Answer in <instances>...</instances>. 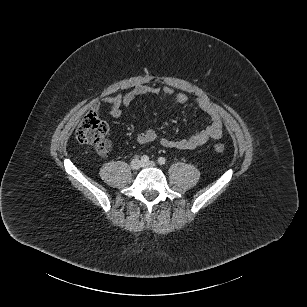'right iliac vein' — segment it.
Listing matches in <instances>:
<instances>
[{"label":"right iliac vein","instance_id":"1","mask_svg":"<svg viewBox=\"0 0 307 307\" xmlns=\"http://www.w3.org/2000/svg\"><path fill=\"white\" fill-rule=\"evenodd\" d=\"M142 166V163L139 159H133L130 163V167L133 170H138Z\"/></svg>","mask_w":307,"mask_h":307}]
</instances>
